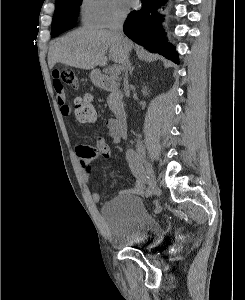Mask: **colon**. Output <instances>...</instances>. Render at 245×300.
<instances>
[{"mask_svg":"<svg viewBox=\"0 0 245 300\" xmlns=\"http://www.w3.org/2000/svg\"><path fill=\"white\" fill-rule=\"evenodd\" d=\"M54 75L72 89L76 90L78 88V78L73 70H57L54 72ZM74 105L75 117L78 122L88 124L95 121L96 113L89 94L77 96L74 100Z\"/></svg>","mask_w":245,"mask_h":300,"instance_id":"1","label":"colon"}]
</instances>
